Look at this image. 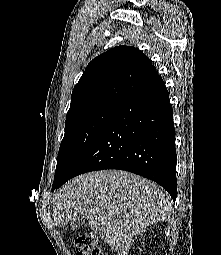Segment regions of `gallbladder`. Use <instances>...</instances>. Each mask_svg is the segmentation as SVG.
<instances>
[{
  "instance_id": "obj_1",
  "label": "gallbladder",
  "mask_w": 221,
  "mask_h": 255,
  "mask_svg": "<svg viewBox=\"0 0 221 255\" xmlns=\"http://www.w3.org/2000/svg\"><path fill=\"white\" fill-rule=\"evenodd\" d=\"M85 220L81 215L75 216L71 221L72 230H78L85 223Z\"/></svg>"
}]
</instances>
